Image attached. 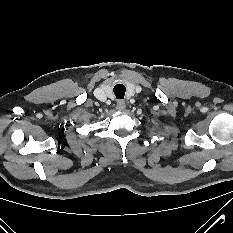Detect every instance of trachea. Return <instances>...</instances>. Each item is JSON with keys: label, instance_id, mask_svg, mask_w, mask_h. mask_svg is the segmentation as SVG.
Wrapping results in <instances>:
<instances>
[{"label": "trachea", "instance_id": "3493384b", "mask_svg": "<svg viewBox=\"0 0 233 233\" xmlns=\"http://www.w3.org/2000/svg\"><path fill=\"white\" fill-rule=\"evenodd\" d=\"M113 91H114V94H115L117 99H123L124 95H125L126 88L123 84H116L114 86Z\"/></svg>", "mask_w": 233, "mask_h": 233}]
</instances>
